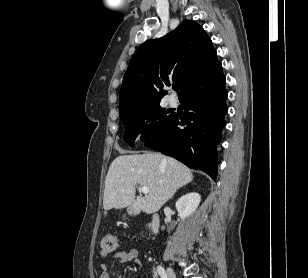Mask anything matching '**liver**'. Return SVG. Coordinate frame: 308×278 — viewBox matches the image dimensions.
Returning <instances> with one entry per match:
<instances>
[{
  "instance_id": "liver-1",
  "label": "liver",
  "mask_w": 308,
  "mask_h": 278,
  "mask_svg": "<svg viewBox=\"0 0 308 278\" xmlns=\"http://www.w3.org/2000/svg\"><path fill=\"white\" fill-rule=\"evenodd\" d=\"M192 180L188 167L160 153L118 156L105 179L104 214L112 208L130 205L134 214L157 212L179 188ZM137 184L149 188L147 196L135 199Z\"/></svg>"
}]
</instances>
